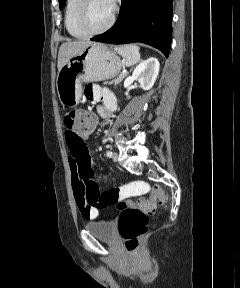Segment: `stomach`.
Returning a JSON list of instances; mask_svg holds the SVG:
<instances>
[{
	"mask_svg": "<svg viewBox=\"0 0 240 288\" xmlns=\"http://www.w3.org/2000/svg\"><path fill=\"white\" fill-rule=\"evenodd\" d=\"M119 56L106 45L91 43L70 58L60 69L56 88L59 100L65 107L76 106L82 96L84 82L112 79L120 72Z\"/></svg>",
	"mask_w": 240,
	"mask_h": 288,
	"instance_id": "stomach-1",
	"label": "stomach"
}]
</instances>
